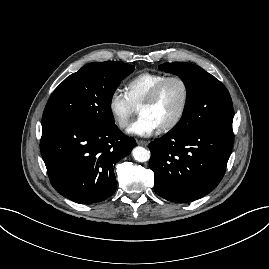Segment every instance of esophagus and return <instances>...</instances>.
Returning <instances> with one entry per match:
<instances>
[{
  "label": "esophagus",
  "instance_id": "obj_1",
  "mask_svg": "<svg viewBox=\"0 0 269 269\" xmlns=\"http://www.w3.org/2000/svg\"><path fill=\"white\" fill-rule=\"evenodd\" d=\"M137 144L138 145H142V146H147L148 145V142L147 141H144V140H137Z\"/></svg>",
  "mask_w": 269,
  "mask_h": 269
}]
</instances>
